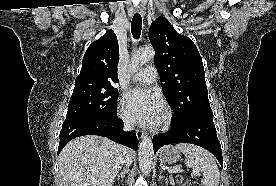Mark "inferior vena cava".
<instances>
[{"instance_id": "1", "label": "inferior vena cava", "mask_w": 276, "mask_h": 186, "mask_svg": "<svg viewBox=\"0 0 276 186\" xmlns=\"http://www.w3.org/2000/svg\"><path fill=\"white\" fill-rule=\"evenodd\" d=\"M123 129L125 131H131L132 129H134V123L132 121H124ZM123 151L125 154L128 155L130 150L126 147H123ZM124 162L127 164V166H129L131 164V158L127 156Z\"/></svg>"}]
</instances>
